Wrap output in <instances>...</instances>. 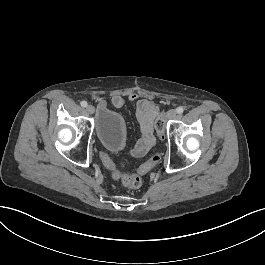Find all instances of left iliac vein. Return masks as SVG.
<instances>
[{
  "label": "left iliac vein",
  "mask_w": 265,
  "mask_h": 265,
  "mask_svg": "<svg viewBox=\"0 0 265 265\" xmlns=\"http://www.w3.org/2000/svg\"><path fill=\"white\" fill-rule=\"evenodd\" d=\"M177 117V113L175 110L171 109L166 114V119H175Z\"/></svg>",
  "instance_id": "left-iliac-vein-1"
}]
</instances>
